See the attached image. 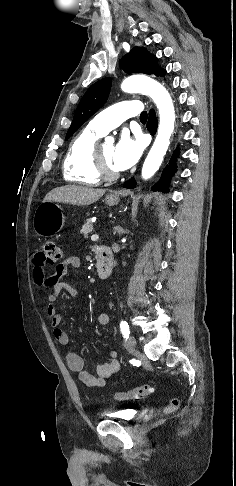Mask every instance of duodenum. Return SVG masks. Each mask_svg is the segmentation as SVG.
<instances>
[{"mask_svg":"<svg viewBox=\"0 0 236 486\" xmlns=\"http://www.w3.org/2000/svg\"><path fill=\"white\" fill-rule=\"evenodd\" d=\"M97 273L101 279L108 278L113 269V254L110 247L105 245L97 246Z\"/></svg>","mask_w":236,"mask_h":486,"instance_id":"1","label":"duodenum"}]
</instances>
